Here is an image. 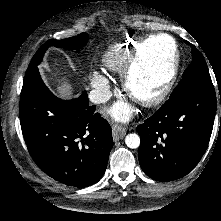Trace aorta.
Wrapping results in <instances>:
<instances>
[{"mask_svg": "<svg viewBox=\"0 0 221 221\" xmlns=\"http://www.w3.org/2000/svg\"><path fill=\"white\" fill-rule=\"evenodd\" d=\"M125 144L132 149L138 148L140 145V137L135 133H130L125 137Z\"/></svg>", "mask_w": 221, "mask_h": 221, "instance_id": "762f6f07", "label": "aorta"}]
</instances>
